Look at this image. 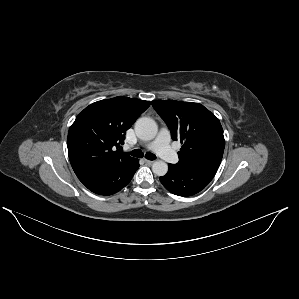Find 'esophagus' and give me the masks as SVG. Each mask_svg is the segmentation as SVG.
Listing matches in <instances>:
<instances>
[{"label":"esophagus","instance_id":"esophagus-1","mask_svg":"<svg viewBox=\"0 0 299 299\" xmlns=\"http://www.w3.org/2000/svg\"><path fill=\"white\" fill-rule=\"evenodd\" d=\"M154 161L145 159V163L151 165Z\"/></svg>","mask_w":299,"mask_h":299}]
</instances>
